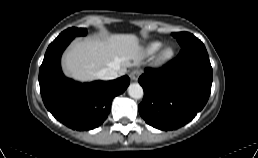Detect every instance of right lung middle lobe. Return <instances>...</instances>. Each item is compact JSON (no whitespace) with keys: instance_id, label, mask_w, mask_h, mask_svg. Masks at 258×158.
Listing matches in <instances>:
<instances>
[{"instance_id":"obj_1","label":"right lung middle lobe","mask_w":258,"mask_h":158,"mask_svg":"<svg viewBox=\"0 0 258 158\" xmlns=\"http://www.w3.org/2000/svg\"><path fill=\"white\" fill-rule=\"evenodd\" d=\"M87 34V30L83 28H69L65 31H63L58 37L60 36H85Z\"/></svg>"}]
</instances>
